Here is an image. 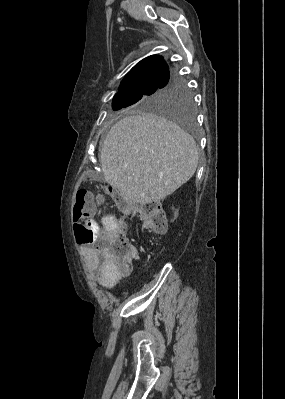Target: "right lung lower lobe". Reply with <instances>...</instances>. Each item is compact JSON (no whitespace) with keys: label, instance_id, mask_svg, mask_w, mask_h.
Masks as SVG:
<instances>
[{"label":"right lung lower lobe","instance_id":"obj_1","mask_svg":"<svg viewBox=\"0 0 285 399\" xmlns=\"http://www.w3.org/2000/svg\"><path fill=\"white\" fill-rule=\"evenodd\" d=\"M174 79H176V77L170 76V73L168 71V73L166 74L165 78L163 79L162 84L168 83V82H170V81H172Z\"/></svg>","mask_w":285,"mask_h":399}]
</instances>
